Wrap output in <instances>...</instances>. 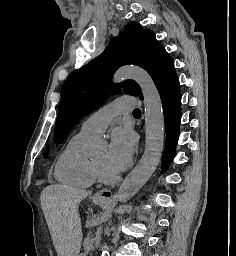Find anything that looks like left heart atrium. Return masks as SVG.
Listing matches in <instances>:
<instances>
[{"label": "left heart atrium", "mask_w": 236, "mask_h": 256, "mask_svg": "<svg viewBox=\"0 0 236 256\" xmlns=\"http://www.w3.org/2000/svg\"><path fill=\"white\" fill-rule=\"evenodd\" d=\"M134 149V136L131 131L115 129L110 138L107 152V166L114 172H121L129 163Z\"/></svg>", "instance_id": "39dd6f15"}]
</instances>
